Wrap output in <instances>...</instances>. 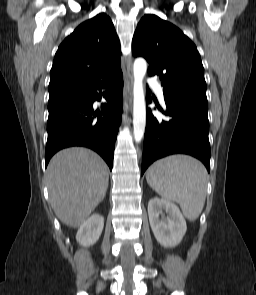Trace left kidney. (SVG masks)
Returning <instances> with one entry per match:
<instances>
[{"label":"left kidney","mask_w":256,"mask_h":295,"mask_svg":"<svg viewBox=\"0 0 256 295\" xmlns=\"http://www.w3.org/2000/svg\"><path fill=\"white\" fill-rule=\"evenodd\" d=\"M148 216L153 234L163 247H175L182 241L187 225L176 204L169 200L152 198L148 203Z\"/></svg>","instance_id":"5707ae66"}]
</instances>
